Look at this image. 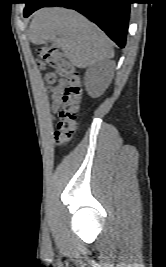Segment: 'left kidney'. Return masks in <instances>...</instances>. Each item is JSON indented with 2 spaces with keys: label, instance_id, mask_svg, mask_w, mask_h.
<instances>
[{
  "label": "left kidney",
  "instance_id": "1",
  "mask_svg": "<svg viewBox=\"0 0 166 267\" xmlns=\"http://www.w3.org/2000/svg\"><path fill=\"white\" fill-rule=\"evenodd\" d=\"M85 89L91 97H98L107 85L104 64L95 65L87 69L84 78Z\"/></svg>",
  "mask_w": 166,
  "mask_h": 267
}]
</instances>
